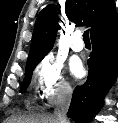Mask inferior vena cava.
Here are the masks:
<instances>
[{
    "label": "inferior vena cava",
    "mask_w": 118,
    "mask_h": 123,
    "mask_svg": "<svg viewBox=\"0 0 118 123\" xmlns=\"http://www.w3.org/2000/svg\"><path fill=\"white\" fill-rule=\"evenodd\" d=\"M72 88L69 85H62L59 88L57 104L54 110V116L59 123H69L66 114L71 102Z\"/></svg>",
    "instance_id": "1"
}]
</instances>
